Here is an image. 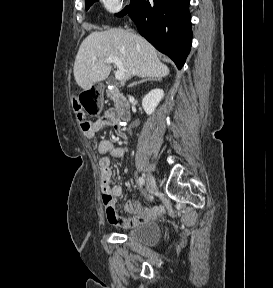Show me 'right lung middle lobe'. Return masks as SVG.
Here are the masks:
<instances>
[{"instance_id": "right-lung-middle-lobe-1", "label": "right lung middle lobe", "mask_w": 273, "mask_h": 288, "mask_svg": "<svg viewBox=\"0 0 273 288\" xmlns=\"http://www.w3.org/2000/svg\"><path fill=\"white\" fill-rule=\"evenodd\" d=\"M96 1H98V0H85L86 10H88L89 7H90L94 2H96ZM134 1H135V0H131L130 6H126L125 9H123V10H122L121 12H119L117 15H118V16H124V15H126V14L130 11V9H131Z\"/></svg>"}]
</instances>
